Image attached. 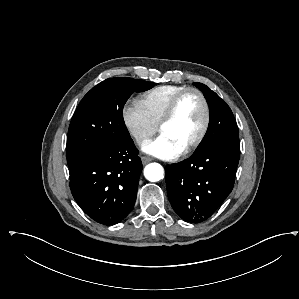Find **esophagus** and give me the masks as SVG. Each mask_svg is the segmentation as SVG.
<instances>
[{"label": "esophagus", "instance_id": "1", "mask_svg": "<svg viewBox=\"0 0 299 299\" xmlns=\"http://www.w3.org/2000/svg\"><path fill=\"white\" fill-rule=\"evenodd\" d=\"M141 161H142V164L145 165V164L149 163L150 161H152V158L148 157V156H142Z\"/></svg>", "mask_w": 299, "mask_h": 299}]
</instances>
